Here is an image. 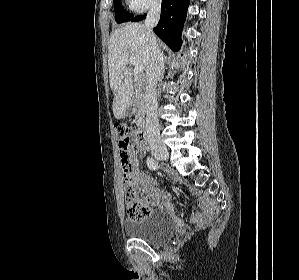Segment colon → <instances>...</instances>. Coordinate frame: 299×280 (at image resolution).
<instances>
[{
    "label": "colon",
    "mask_w": 299,
    "mask_h": 280,
    "mask_svg": "<svg viewBox=\"0 0 299 280\" xmlns=\"http://www.w3.org/2000/svg\"><path fill=\"white\" fill-rule=\"evenodd\" d=\"M121 165L124 174L125 182V202H126V213L131 220H141L148 214H150V208L146 202L139 199L137 190L129 182V149L133 142L132 130L130 127L124 124H118L115 127Z\"/></svg>",
    "instance_id": "obj_1"
}]
</instances>
